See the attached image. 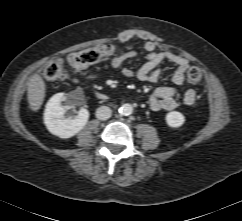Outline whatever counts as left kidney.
Here are the masks:
<instances>
[{
    "instance_id": "left-kidney-1",
    "label": "left kidney",
    "mask_w": 242,
    "mask_h": 221,
    "mask_svg": "<svg viewBox=\"0 0 242 221\" xmlns=\"http://www.w3.org/2000/svg\"><path fill=\"white\" fill-rule=\"evenodd\" d=\"M166 122L171 128H178L185 122V117L178 111H171L166 115Z\"/></svg>"
}]
</instances>
